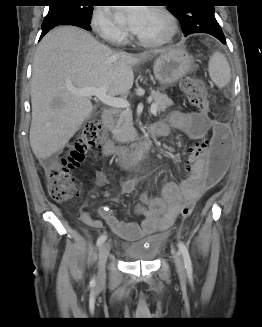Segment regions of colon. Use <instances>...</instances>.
<instances>
[{"mask_svg":"<svg viewBox=\"0 0 262 327\" xmlns=\"http://www.w3.org/2000/svg\"><path fill=\"white\" fill-rule=\"evenodd\" d=\"M181 90L188 102L197 110L208 113L209 100L204 82L196 77H185L181 81ZM107 136L104 125L99 119L85 124L71 150L52 168L47 175V188L50 196L60 202L68 201L79 194L75 178L72 174L85 159L87 152L104 146ZM231 150V132L224 123H216L214 136L209 142L196 143L190 148L191 154H201L207 161L206 182L208 187L215 186L224 177L229 163ZM195 201H187L180 210V215L187 218L195 205Z\"/></svg>","mask_w":262,"mask_h":327,"instance_id":"5ec220e1","label":"colon"}]
</instances>
